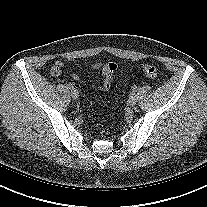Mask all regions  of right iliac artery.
<instances>
[{
    "mask_svg": "<svg viewBox=\"0 0 207 207\" xmlns=\"http://www.w3.org/2000/svg\"><path fill=\"white\" fill-rule=\"evenodd\" d=\"M68 88L71 89V90H73L74 87H73L72 84H68Z\"/></svg>",
    "mask_w": 207,
    "mask_h": 207,
    "instance_id": "82829eb1",
    "label": "right iliac artery"
}]
</instances>
